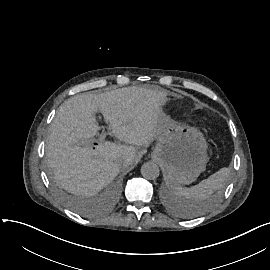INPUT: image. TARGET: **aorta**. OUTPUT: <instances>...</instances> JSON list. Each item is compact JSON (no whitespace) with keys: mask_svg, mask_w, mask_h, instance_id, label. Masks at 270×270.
I'll return each mask as SVG.
<instances>
[{"mask_svg":"<svg viewBox=\"0 0 270 270\" xmlns=\"http://www.w3.org/2000/svg\"><path fill=\"white\" fill-rule=\"evenodd\" d=\"M142 176L147 180H155L160 175V169L158 165L153 162H147L142 165L141 168Z\"/></svg>","mask_w":270,"mask_h":270,"instance_id":"1","label":"aorta"}]
</instances>
